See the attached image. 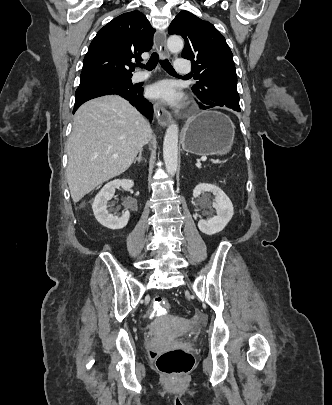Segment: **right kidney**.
<instances>
[{
	"mask_svg": "<svg viewBox=\"0 0 332 405\" xmlns=\"http://www.w3.org/2000/svg\"><path fill=\"white\" fill-rule=\"evenodd\" d=\"M133 186V180L116 179L108 182L95 196L92 209L96 220L101 225L112 230H118L124 228L128 224L130 218L129 210L124 211L119 217L109 213L107 204L108 201L113 198L116 188L122 187L125 190H129Z\"/></svg>",
	"mask_w": 332,
	"mask_h": 405,
	"instance_id": "ca27d5eb",
	"label": "right kidney"
}]
</instances>
